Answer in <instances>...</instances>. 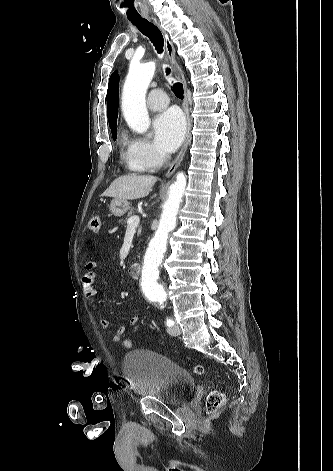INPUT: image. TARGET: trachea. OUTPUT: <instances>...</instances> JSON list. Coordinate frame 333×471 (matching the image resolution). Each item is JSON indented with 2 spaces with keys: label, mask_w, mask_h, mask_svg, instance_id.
<instances>
[{
  "label": "trachea",
  "mask_w": 333,
  "mask_h": 471,
  "mask_svg": "<svg viewBox=\"0 0 333 471\" xmlns=\"http://www.w3.org/2000/svg\"><path fill=\"white\" fill-rule=\"evenodd\" d=\"M131 22L140 30L143 35L147 36L150 39V41L155 46L157 52L161 54L163 52L164 40L160 30L146 19L131 20ZM166 72L167 74H169L170 69H167ZM172 89L176 97L183 99L182 83H174Z\"/></svg>",
  "instance_id": "3493384b"
}]
</instances>
